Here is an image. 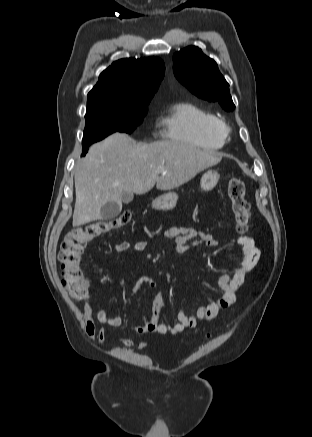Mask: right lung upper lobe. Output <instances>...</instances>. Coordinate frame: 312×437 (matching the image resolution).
I'll list each match as a JSON object with an SVG mask.
<instances>
[{"mask_svg": "<svg viewBox=\"0 0 312 437\" xmlns=\"http://www.w3.org/2000/svg\"><path fill=\"white\" fill-rule=\"evenodd\" d=\"M165 66L155 57L121 59L104 70L88 93L87 111L135 112L148 108L164 77Z\"/></svg>", "mask_w": 312, "mask_h": 437, "instance_id": "right-lung-upper-lobe-1", "label": "right lung upper lobe"}]
</instances>
